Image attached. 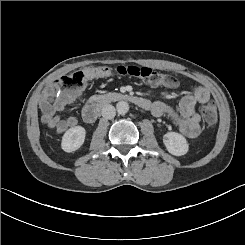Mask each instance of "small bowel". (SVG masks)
<instances>
[{
  "mask_svg": "<svg viewBox=\"0 0 245 245\" xmlns=\"http://www.w3.org/2000/svg\"><path fill=\"white\" fill-rule=\"evenodd\" d=\"M55 97L53 103L50 99ZM76 94H68L65 92L57 93L53 86H49L44 90L40 100L42 110V122L56 133H62L68 128L77 124V119L70 114L66 118H62L57 113L64 112L75 100ZM210 99V93L204 87H198L191 95L182 98L179 104V111L174 110L163 102H154L151 112L154 116L167 115L179 128L180 132L188 138H195L200 134L199 114L195 111L197 103H206Z\"/></svg>",
  "mask_w": 245,
  "mask_h": 245,
  "instance_id": "1",
  "label": "small bowel"
}]
</instances>
